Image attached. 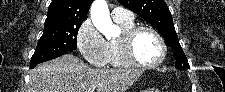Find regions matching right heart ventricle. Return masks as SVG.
<instances>
[{
  "label": "right heart ventricle",
  "instance_id": "1",
  "mask_svg": "<svg viewBox=\"0 0 225 92\" xmlns=\"http://www.w3.org/2000/svg\"><path fill=\"white\" fill-rule=\"evenodd\" d=\"M116 23L120 26L122 33L134 26V21H116ZM118 40H110L107 42L108 47V58L111 66L115 68L128 67L125 65L121 59L120 52L118 49Z\"/></svg>",
  "mask_w": 225,
  "mask_h": 92
}]
</instances>
